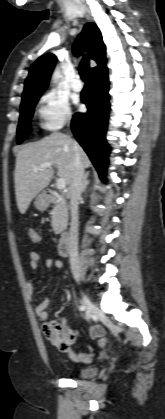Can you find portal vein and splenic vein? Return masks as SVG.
Wrapping results in <instances>:
<instances>
[{
    "mask_svg": "<svg viewBox=\"0 0 165 419\" xmlns=\"http://www.w3.org/2000/svg\"><path fill=\"white\" fill-rule=\"evenodd\" d=\"M51 166H52L51 163H48V162L47 163H43V164H41L39 166L34 167L33 171L34 172H37V171H39L41 169L49 168ZM65 186H66V181L63 178L57 179V181H56V187H57V189L62 190V189L65 188Z\"/></svg>",
    "mask_w": 165,
    "mask_h": 419,
    "instance_id": "obj_1",
    "label": "portal vein and splenic vein"
}]
</instances>
